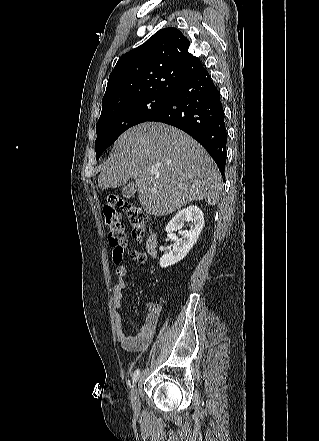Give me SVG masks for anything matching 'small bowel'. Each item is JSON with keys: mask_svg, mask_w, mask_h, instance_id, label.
Masks as SVG:
<instances>
[{"mask_svg": "<svg viewBox=\"0 0 319 441\" xmlns=\"http://www.w3.org/2000/svg\"><path fill=\"white\" fill-rule=\"evenodd\" d=\"M128 256L130 259L139 264H144L147 260L146 254L142 251L131 250ZM127 274V267L125 265L118 264L116 268V281L111 291L112 302L115 310L117 341L122 348L127 351H142L149 345L150 341L154 338L157 332L162 305L160 301L147 302L146 308L148 313L141 331L134 335L127 334L123 329L120 314L123 291L126 286L125 278Z\"/></svg>", "mask_w": 319, "mask_h": 441, "instance_id": "small-bowel-1", "label": "small bowel"}]
</instances>
